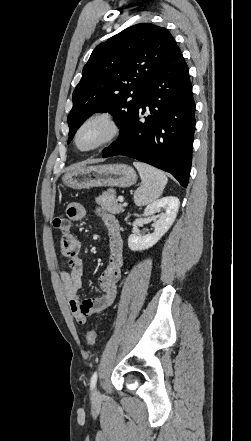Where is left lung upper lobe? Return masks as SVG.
<instances>
[{
    "instance_id": "left-lung-upper-lobe-1",
    "label": "left lung upper lobe",
    "mask_w": 251,
    "mask_h": 441,
    "mask_svg": "<svg viewBox=\"0 0 251 441\" xmlns=\"http://www.w3.org/2000/svg\"><path fill=\"white\" fill-rule=\"evenodd\" d=\"M176 47L165 28L150 23L128 27L98 45L73 92L69 141L84 120L96 112L114 115L123 129L145 99L146 86Z\"/></svg>"
}]
</instances>
